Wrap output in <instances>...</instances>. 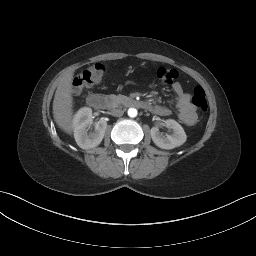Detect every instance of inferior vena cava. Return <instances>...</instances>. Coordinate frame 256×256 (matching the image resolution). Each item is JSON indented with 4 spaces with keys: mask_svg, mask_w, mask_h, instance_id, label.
<instances>
[{
    "mask_svg": "<svg viewBox=\"0 0 256 256\" xmlns=\"http://www.w3.org/2000/svg\"><path fill=\"white\" fill-rule=\"evenodd\" d=\"M124 114V111L122 109H113L111 111V115L115 117H121Z\"/></svg>",
    "mask_w": 256,
    "mask_h": 256,
    "instance_id": "602c4592",
    "label": "inferior vena cava"
}]
</instances>
